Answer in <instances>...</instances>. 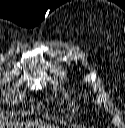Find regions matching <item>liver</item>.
I'll return each mask as SVG.
<instances>
[{"mask_svg":"<svg viewBox=\"0 0 125 128\" xmlns=\"http://www.w3.org/2000/svg\"><path fill=\"white\" fill-rule=\"evenodd\" d=\"M3 126H2V124L0 123V128H2ZM48 128H54V127H52V126H48Z\"/></svg>","mask_w":125,"mask_h":128,"instance_id":"1","label":"liver"}]
</instances>
